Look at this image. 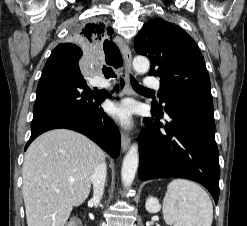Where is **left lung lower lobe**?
Wrapping results in <instances>:
<instances>
[{
    "mask_svg": "<svg viewBox=\"0 0 247 226\" xmlns=\"http://www.w3.org/2000/svg\"><path fill=\"white\" fill-rule=\"evenodd\" d=\"M162 107L152 104L155 122L144 119L138 140L141 180L178 177L205 186L215 203L219 198V156L215 142V122L211 88L207 85L180 86L164 97Z\"/></svg>",
    "mask_w": 247,
    "mask_h": 226,
    "instance_id": "1",
    "label": "left lung lower lobe"
}]
</instances>
